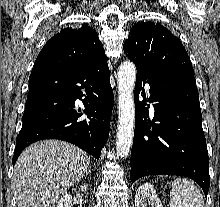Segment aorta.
<instances>
[{
  "label": "aorta",
  "mask_w": 220,
  "mask_h": 207,
  "mask_svg": "<svg viewBox=\"0 0 220 207\" xmlns=\"http://www.w3.org/2000/svg\"><path fill=\"white\" fill-rule=\"evenodd\" d=\"M136 67L131 61L123 62L118 71V114L116 152L117 157L128 156L134 137L135 103L133 97Z\"/></svg>",
  "instance_id": "aorta-1"
}]
</instances>
